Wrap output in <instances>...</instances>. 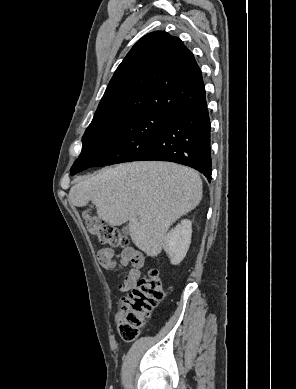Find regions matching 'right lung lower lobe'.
<instances>
[{
  "mask_svg": "<svg viewBox=\"0 0 296 389\" xmlns=\"http://www.w3.org/2000/svg\"><path fill=\"white\" fill-rule=\"evenodd\" d=\"M211 123L207 103L193 107L173 117L167 128L155 138L137 161H170L192 167L211 181ZM89 165L71 169V175Z\"/></svg>",
  "mask_w": 296,
  "mask_h": 389,
  "instance_id": "right-lung-lower-lobe-1",
  "label": "right lung lower lobe"
}]
</instances>
